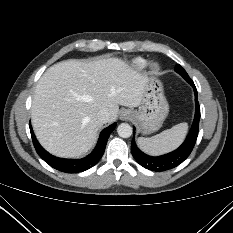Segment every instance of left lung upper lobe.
<instances>
[{
    "label": "left lung upper lobe",
    "instance_id": "1",
    "mask_svg": "<svg viewBox=\"0 0 233 233\" xmlns=\"http://www.w3.org/2000/svg\"><path fill=\"white\" fill-rule=\"evenodd\" d=\"M175 71L177 73H179L185 80H190L187 72L184 70V68L182 66H180L179 64L176 65L175 67Z\"/></svg>",
    "mask_w": 233,
    "mask_h": 233
}]
</instances>
